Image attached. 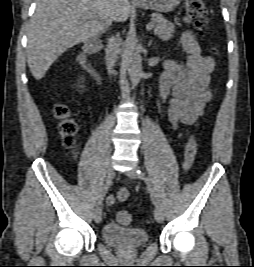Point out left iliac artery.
<instances>
[{
    "mask_svg": "<svg viewBox=\"0 0 254 267\" xmlns=\"http://www.w3.org/2000/svg\"><path fill=\"white\" fill-rule=\"evenodd\" d=\"M137 174L138 176L143 179L145 181V183L147 184V187H148V190L150 191V194H151V199L154 203L155 206H158L159 205V202L156 198V195L152 189V184H151V180L145 175L144 172H142L141 170H137Z\"/></svg>",
    "mask_w": 254,
    "mask_h": 267,
    "instance_id": "44dca946",
    "label": "left iliac artery"
}]
</instances>
